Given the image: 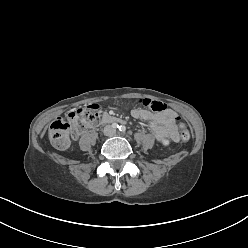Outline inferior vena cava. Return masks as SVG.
I'll list each match as a JSON object with an SVG mask.
<instances>
[{
  "instance_id": "1",
  "label": "inferior vena cava",
  "mask_w": 248,
  "mask_h": 248,
  "mask_svg": "<svg viewBox=\"0 0 248 248\" xmlns=\"http://www.w3.org/2000/svg\"><path fill=\"white\" fill-rule=\"evenodd\" d=\"M115 132H116V130L114 128H112V131H111L110 135H114Z\"/></svg>"
}]
</instances>
